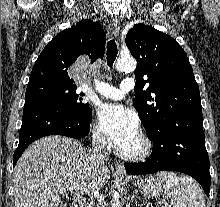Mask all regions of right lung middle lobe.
Returning <instances> with one entry per match:
<instances>
[{"label":"right lung middle lobe","instance_id":"dd1d6c3e","mask_svg":"<svg viewBox=\"0 0 220 207\" xmlns=\"http://www.w3.org/2000/svg\"><path fill=\"white\" fill-rule=\"evenodd\" d=\"M76 90V85L39 81L27 86L25 101L43 99L76 114L89 113V104L82 102L84 93H78Z\"/></svg>","mask_w":220,"mask_h":207}]
</instances>
